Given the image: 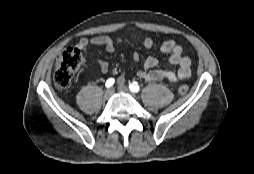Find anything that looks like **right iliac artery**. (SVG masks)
<instances>
[{
	"label": "right iliac artery",
	"instance_id": "1",
	"mask_svg": "<svg viewBox=\"0 0 254 174\" xmlns=\"http://www.w3.org/2000/svg\"><path fill=\"white\" fill-rule=\"evenodd\" d=\"M115 80L113 78H109L106 83H105V86L107 88L111 87L113 84H114Z\"/></svg>",
	"mask_w": 254,
	"mask_h": 174
}]
</instances>
